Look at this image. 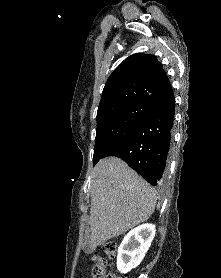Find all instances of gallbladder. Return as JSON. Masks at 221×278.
Masks as SVG:
<instances>
[{
  "label": "gallbladder",
  "mask_w": 221,
  "mask_h": 278,
  "mask_svg": "<svg viewBox=\"0 0 221 278\" xmlns=\"http://www.w3.org/2000/svg\"><path fill=\"white\" fill-rule=\"evenodd\" d=\"M85 250L88 251V247H85Z\"/></svg>",
  "instance_id": "1"
}]
</instances>
